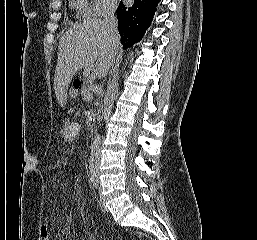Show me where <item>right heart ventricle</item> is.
<instances>
[{
	"instance_id": "obj_1",
	"label": "right heart ventricle",
	"mask_w": 257,
	"mask_h": 240,
	"mask_svg": "<svg viewBox=\"0 0 257 240\" xmlns=\"http://www.w3.org/2000/svg\"><path fill=\"white\" fill-rule=\"evenodd\" d=\"M72 5L75 7L79 15L85 16L88 14L90 4L87 0H72Z\"/></svg>"
}]
</instances>
